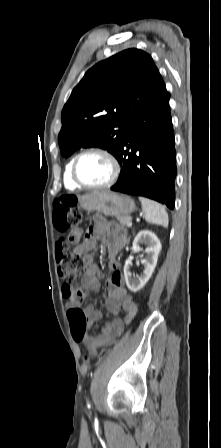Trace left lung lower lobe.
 Returning a JSON list of instances; mask_svg holds the SVG:
<instances>
[{
	"label": "left lung lower lobe",
	"mask_w": 221,
	"mask_h": 448,
	"mask_svg": "<svg viewBox=\"0 0 221 448\" xmlns=\"http://www.w3.org/2000/svg\"><path fill=\"white\" fill-rule=\"evenodd\" d=\"M169 99L165 89L131 124L116 157L122 169L111 190L145 196L173 209L177 168Z\"/></svg>",
	"instance_id": "1"
}]
</instances>
